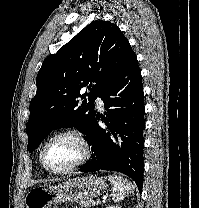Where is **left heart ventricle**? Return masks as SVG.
I'll list each match as a JSON object with an SVG mask.
<instances>
[{"label":"left heart ventricle","mask_w":199,"mask_h":208,"mask_svg":"<svg viewBox=\"0 0 199 208\" xmlns=\"http://www.w3.org/2000/svg\"><path fill=\"white\" fill-rule=\"evenodd\" d=\"M82 155L80 144L72 137L53 140L46 150L48 164L54 169H64L77 162Z\"/></svg>","instance_id":"left-heart-ventricle-1"}]
</instances>
